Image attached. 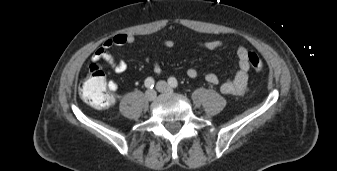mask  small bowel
I'll use <instances>...</instances> for the list:
<instances>
[{"label": "small bowel", "mask_w": 337, "mask_h": 171, "mask_svg": "<svg viewBox=\"0 0 337 171\" xmlns=\"http://www.w3.org/2000/svg\"><path fill=\"white\" fill-rule=\"evenodd\" d=\"M135 42V37L129 33H118L111 38L106 39L103 44L94 52L92 55V63H98L104 61L115 73H123L127 70L128 64L124 59L116 58L110 49L114 46H125L130 45ZM163 46L165 48H174L176 43L172 39H165L163 41ZM198 47L207 50H216L223 46L221 40H208L198 42L196 44ZM249 51L245 47H239L236 51V56L238 60V70L232 78L227 79L220 85V90L223 94L241 96L247 90L248 84V72L250 70V63L248 60ZM153 71L155 73L161 72V66L157 61L153 62ZM187 76L191 79L197 78L199 73L195 68H189L186 72ZM205 80L211 85H218L219 78L215 73H207L205 75ZM107 86L112 93L118 90V84L114 80H109Z\"/></svg>", "instance_id": "obj_1"}]
</instances>
